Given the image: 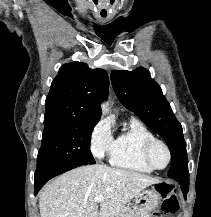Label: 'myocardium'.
I'll return each instance as SVG.
<instances>
[{"label":"myocardium","mask_w":211,"mask_h":217,"mask_svg":"<svg viewBox=\"0 0 211 217\" xmlns=\"http://www.w3.org/2000/svg\"><path fill=\"white\" fill-rule=\"evenodd\" d=\"M156 145H161L165 148L166 152H167V155H168V160H167V163L164 167H158L154 164V162L152 161V157H151V154H152V150L154 149V147ZM143 159L145 161V163L150 167L152 168L153 170H164L166 169L170 163H171V160H172V152H171V149L170 147L168 146V144L162 140V139H158V138H153L149 141H147L143 147Z\"/></svg>","instance_id":"obj_1"}]
</instances>
